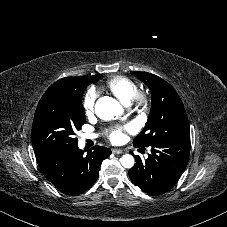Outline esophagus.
<instances>
[{
    "mask_svg": "<svg viewBox=\"0 0 227 227\" xmlns=\"http://www.w3.org/2000/svg\"><path fill=\"white\" fill-rule=\"evenodd\" d=\"M112 152L114 154H122L123 153V151L121 149H112Z\"/></svg>",
    "mask_w": 227,
    "mask_h": 227,
    "instance_id": "1",
    "label": "esophagus"
}]
</instances>
